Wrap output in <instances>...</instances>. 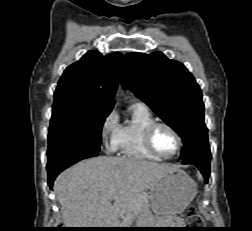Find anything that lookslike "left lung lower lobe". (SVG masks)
Returning a JSON list of instances; mask_svg holds the SVG:
<instances>
[{
    "mask_svg": "<svg viewBox=\"0 0 252 231\" xmlns=\"http://www.w3.org/2000/svg\"><path fill=\"white\" fill-rule=\"evenodd\" d=\"M210 155H200L196 157H192L186 160H182V164H192L195 165L203 174L205 181H208L210 175Z\"/></svg>",
    "mask_w": 252,
    "mask_h": 231,
    "instance_id": "0a47b994",
    "label": "left lung lower lobe"
}]
</instances>
